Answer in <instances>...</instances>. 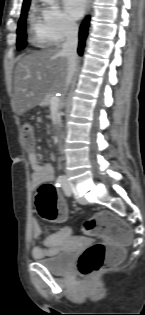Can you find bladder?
Masks as SVG:
<instances>
[{
    "label": "bladder",
    "mask_w": 145,
    "mask_h": 315,
    "mask_svg": "<svg viewBox=\"0 0 145 315\" xmlns=\"http://www.w3.org/2000/svg\"><path fill=\"white\" fill-rule=\"evenodd\" d=\"M80 249V248H67ZM74 256H66V249L48 259H41L39 262L52 274H64L72 267Z\"/></svg>",
    "instance_id": "obj_1"
}]
</instances>
